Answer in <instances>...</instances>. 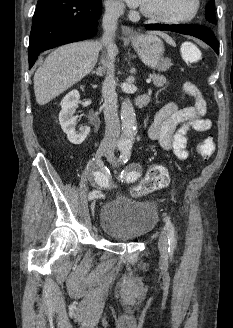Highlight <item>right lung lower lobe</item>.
<instances>
[{"label": "right lung lower lobe", "instance_id": "98d812e1", "mask_svg": "<svg viewBox=\"0 0 233 328\" xmlns=\"http://www.w3.org/2000/svg\"><path fill=\"white\" fill-rule=\"evenodd\" d=\"M100 0H38L29 40V68L39 53L96 33Z\"/></svg>", "mask_w": 233, "mask_h": 328}]
</instances>
